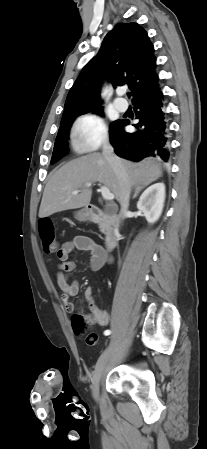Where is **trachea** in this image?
Listing matches in <instances>:
<instances>
[{
    "label": "trachea",
    "instance_id": "3493384b",
    "mask_svg": "<svg viewBox=\"0 0 207 449\" xmlns=\"http://www.w3.org/2000/svg\"><path fill=\"white\" fill-rule=\"evenodd\" d=\"M130 95H131V93H130V92H128V93H127V96H128V97H130Z\"/></svg>",
    "mask_w": 207,
    "mask_h": 449
}]
</instances>
